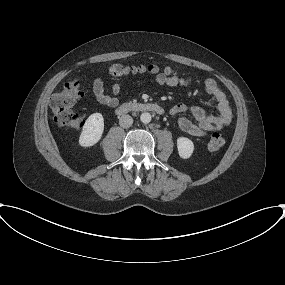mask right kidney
Here are the masks:
<instances>
[{
  "instance_id": "right-kidney-1",
  "label": "right kidney",
  "mask_w": 285,
  "mask_h": 285,
  "mask_svg": "<svg viewBox=\"0 0 285 285\" xmlns=\"http://www.w3.org/2000/svg\"><path fill=\"white\" fill-rule=\"evenodd\" d=\"M104 131V119L102 114L94 113L90 115L79 137V144L82 147H91L95 145L102 137Z\"/></svg>"
}]
</instances>
